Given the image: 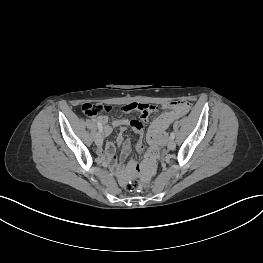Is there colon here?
I'll return each mask as SVG.
<instances>
[{"label": "colon", "mask_w": 263, "mask_h": 263, "mask_svg": "<svg viewBox=\"0 0 263 263\" xmlns=\"http://www.w3.org/2000/svg\"><path fill=\"white\" fill-rule=\"evenodd\" d=\"M169 104H174L176 106V109L180 110L183 114L188 112L190 105L187 101H175ZM110 107L102 104H85L82 106V111L86 116H94L102 114L106 111H109ZM118 111L122 114H126L127 116H133L134 112L136 114L146 115V114H152L156 112V107L151 102H126L125 104H120L118 106ZM164 155V152L162 151L161 156ZM142 188L145 189L148 187L147 183L137 182L135 180L129 181L124 185V190L129 193H134L138 189Z\"/></svg>", "instance_id": "5ec220e1"}]
</instances>
